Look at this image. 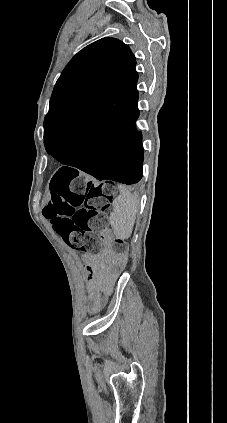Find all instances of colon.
Wrapping results in <instances>:
<instances>
[{
    "label": "colon",
    "instance_id": "1",
    "mask_svg": "<svg viewBox=\"0 0 227 423\" xmlns=\"http://www.w3.org/2000/svg\"><path fill=\"white\" fill-rule=\"evenodd\" d=\"M50 199L43 210L54 230L71 248L94 253L101 246L98 232L105 227V211L114 196L111 185H96L71 170H59L50 184ZM114 249L123 244L115 240Z\"/></svg>",
    "mask_w": 227,
    "mask_h": 423
}]
</instances>
